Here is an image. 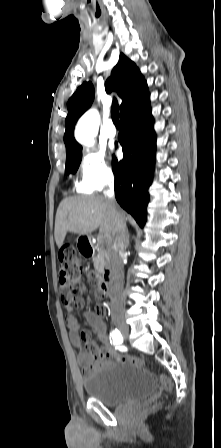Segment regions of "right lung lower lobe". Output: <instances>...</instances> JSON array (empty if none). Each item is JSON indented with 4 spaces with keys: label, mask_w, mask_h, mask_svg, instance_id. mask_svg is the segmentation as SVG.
Segmentation results:
<instances>
[{
    "label": "right lung lower lobe",
    "mask_w": 221,
    "mask_h": 448,
    "mask_svg": "<svg viewBox=\"0 0 221 448\" xmlns=\"http://www.w3.org/2000/svg\"><path fill=\"white\" fill-rule=\"evenodd\" d=\"M122 131L119 135L124 159L113 156L115 197L140 227L147 219L148 187L155 165L156 135L151 114L149 95L120 116Z\"/></svg>",
    "instance_id": "obj_1"
}]
</instances>
